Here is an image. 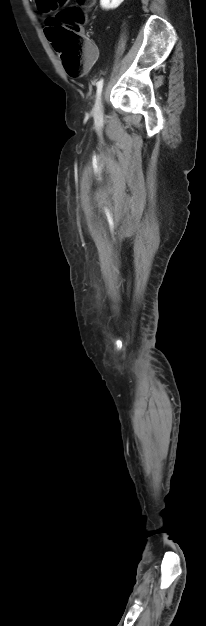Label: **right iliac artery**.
<instances>
[{
    "label": "right iliac artery",
    "instance_id": "82829eb1",
    "mask_svg": "<svg viewBox=\"0 0 206 626\" xmlns=\"http://www.w3.org/2000/svg\"><path fill=\"white\" fill-rule=\"evenodd\" d=\"M96 86H97V93H96V97H97V99H99V97H100V95H101V92H102V87H103V79H100V80L97 82Z\"/></svg>",
    "mask_w": 206,
    "mask_h": 626
}]
</instances>
